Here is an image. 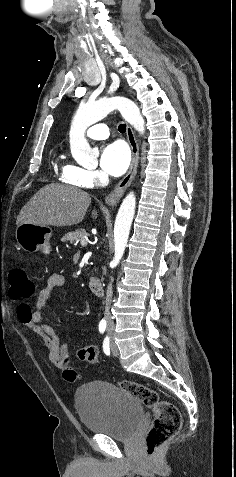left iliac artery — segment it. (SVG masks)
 <instances>
[{
	"label": "left iliac artery",
	"instance_id": "44dca946",
	"mask_svg": "<svg viewBox=\"0 0 236 477\" xmlns=\"http://www.w3.org/2000/svg\"><path fill=\"white\" fill-rule=\"evenodd\" d=\"M103 351L106 355L110 354L109 337L108 336H106V338L103 341Z\"/></svg>",
	"mask_w": 236,
	"mask_h": 477
}]
</instances>
